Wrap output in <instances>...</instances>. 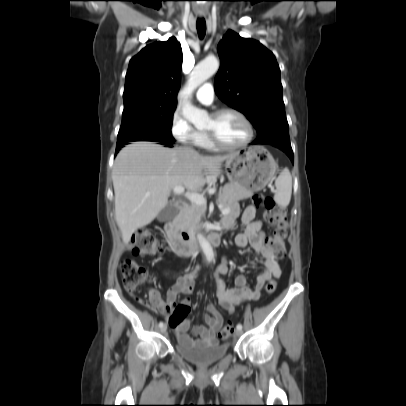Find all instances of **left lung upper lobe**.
<instances>
[{"instance_id": "5c2ea615", "label": "left lung upper lobe", "mask_w": 406, "mask_h": 406, "mask_svg": "<svg viewBox=\"0 0 406 406\" xmlns=\"http://www.w3.org/2000/svg\"><path fill=\"white\" fill-rule=\"evenodd\" d=\"M221 66L214 81L218 97L244 113L257 139L289 140L280 69L260 42L229 30L218 45Z\"/></svg>"}]
</instances>
